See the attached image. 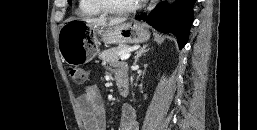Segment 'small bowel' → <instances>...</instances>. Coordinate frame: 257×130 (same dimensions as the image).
<instances>
[{
  "label": "small bowel",
  "instance_id": "obj_1",
  "mask_svg": "<svg viewBox=\"0 0 257 130\" xmlns=\"http://www.w3.org/2000/svg\"><path fill=\"white\" fill-rule=\"evenodd\" d=\"M106 66L115 76L116 82L121 79L127 81V71L124 65L108 63ZM77 103L85 130H106L105 107L96 85H86L83 94L78 97ZM118 130H139L136 112L130 105L122 107Z\"/></svg>",
  "mask_w": 257,
  "mask_h": 130
}]
</instances>
